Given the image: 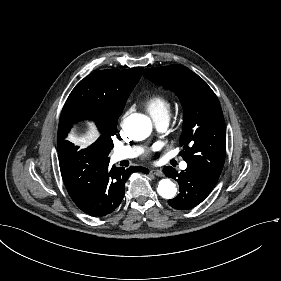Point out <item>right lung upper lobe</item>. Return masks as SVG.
Here are the masks:
<instances>
[{
    "label": "right lung upper lobe",
    "mask_w": 281,
    "mask_h": 281,
    "mask_svg": "<svg viewBox=\"0 0 281 281\" xmlns=\"http://www.w3.org/2000/svg\"><path fill=\"white\" fill-rule=\"evenodd\" d=\"M142 69L96 71L79 82L62 109L57 145L67 142L65 138L70 128L80 120L94 121L100 132L102 125L118 123V117L139 81ZM90 148L96 149V142Z\"/></svg>",
    "instance_id": "1"
}]
</instances>
